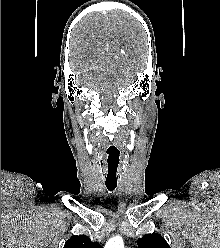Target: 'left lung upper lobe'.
I'll list each match as a JSON object with an SVG mask.
<instances>
[{"instance_id": "obj_1", "label": "left lung upper lobe", "mask_w": 220, "mask_h": 248, "mask_svg": "<svg viewBox=\"0 0 220 248\" xmlns=\"http://www.w3.org/2000/svg\"><path fill=\"white\" fill-rule=\"evenodd\" d=\"M139 248H170L166 240L158 234H148L138 239Z\"/></svg>"}]
</instances>
